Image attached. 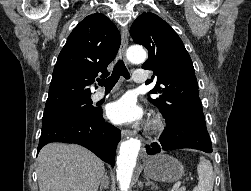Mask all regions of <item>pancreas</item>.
Instances as JSON below:
<instances>
[{"label":"pancreas","mask_w":251,"mask_h":191,"mask_svg":"<svg viewBox=\"0 0 251 191\" xmlns=\"http://www.w3.org/2000/svg\"><path fill=\"white\" fill-rule=\"evenodd\" d=\"M175 191H186L185 187H179V189H175Z\"/></svg>","instance_id":"1"}]
</instances>
